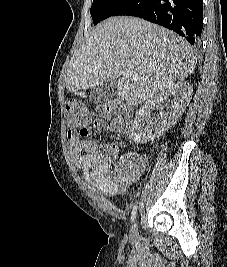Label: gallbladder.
Segmentation results:
<instances>
[{
	"mask_svg": "<svg viewBox=\"0 0 227 267\" xmlns=\"http://www.w3.org/2000/svg\"><path fill=\"white\" fill-rule=\"evenodd\" d=\"M117 89V80H111L101 84L90 91L89 100L95 104L106 103L112 98Z\"/></svg>",
	"mask_w": 227,
	"mask_h": 267,
	"instance_id": "1",
	"label": "gallbladder"
}]
</instances>
